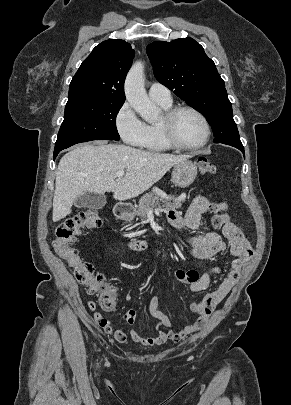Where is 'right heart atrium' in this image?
<instances>
[{"label": "right heart atrium", "mask_w": 291, "mask_h": 405, "mask_svg": "<svg viewBox=\"0 0 291 405\" xmlns=\"http://www.w3.org/2000/svg\"><path fill=\"white\" fill-rule=\"evenodd\" d=\"M115 128L127 145L141 147L146 135V124L138 117L132 106L124 102L116 112Z\"/></svg>", "instance_id": "1"}]
</instances>
